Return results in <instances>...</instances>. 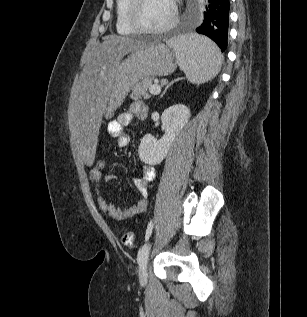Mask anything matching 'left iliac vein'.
<instances>
[{"label":"left iliac vein","instance_id":"left-iliac-vein-1","mask_svg":"<svg viewBox=\"0 0 307 317\" xmlns=\"http://www.w3.org/2000/svg\"><path fill=\"white\" fill-rule=\"evenodd\" d=\"M151 249V243L144 244L138 252V266H139V280L141 284H145L147 281V266L149 260V254Z\"/></svg>","mask_w":307,"mask_h":317}]
</instances>
